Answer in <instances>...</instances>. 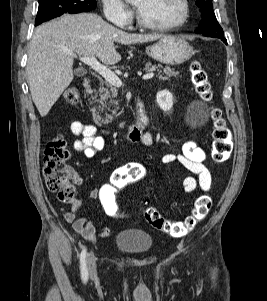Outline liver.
Instances as JSON below:
<instances>
[{
  "instance_id": "6515ba94",
  "label": "liver",
  "mask_w": 267,
  "mask_h": 301,
  "mask_svg": "<svg viewBox=\"0 0 267 301\" xmlns=\"http://www.w3.org/2000/svg\"><path fill=\"white\" fill-rule=\"evenodd\" d=\"M163 36L124 32L99 15L65 14L36 28L28 50L27 76L30 93L42 117L46 116L73 80L74 55L96 56L105 65L121 60L115 42L147 43Z\"/></svg>"
}]
</instances>
